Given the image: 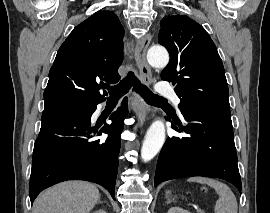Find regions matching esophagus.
<instances>
[{
    "instance_id": "obj_1",
    "label": "esophagus",
    "mask_w": 270,
    "mask_h": 213,
    "mask_svg": "<svg viewBox=\"0 0 270 213\" xmlns=\"http://www.w3.org/2000/svg\"><path fill=\"white\" fill-rule=\"evenodd\" d=\"M151 38L150 33L146 34L138 41L135 49V59L140 72V80L147 85L150 84L152 80L151 69L146 61V51L151 42ZM135 101L134 111L138 118V125L141 127L150 116L151 109L138 93L135 94Z\"/></svg>"
}]
</instances>
